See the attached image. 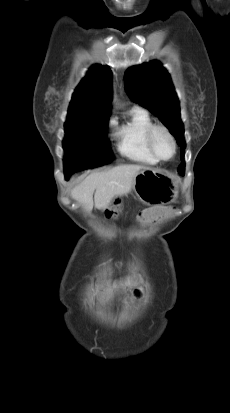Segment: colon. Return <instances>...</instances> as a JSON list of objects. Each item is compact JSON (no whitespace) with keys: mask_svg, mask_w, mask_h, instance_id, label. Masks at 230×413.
<instances>
[{"mask_svg":"<svg viewBox=\"0 0 230 413\" xmlns=\"http://www.w3.org/2000/svg\"><path fill=\"white\" fill-rule=\"evenodd\" d=\"M114 206L112 209H106L105 210V215L108 216L109 218H115L118 215V211L120 210V207L123 204V199L121 197H116L114 199Z\"/></svg>","mask_w":230,"mask_h":413,"instance_id":"obj_1","label":"colon"}]
</instances>
